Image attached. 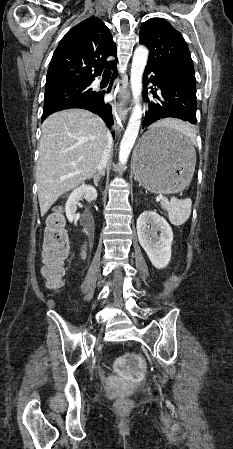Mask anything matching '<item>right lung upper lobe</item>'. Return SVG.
Listing matches in <instances>:
<instances>
[{"mask_svg":"<svg viewBox=\"0 0 233 449\" xmlns=\"http://www.w3.org/2000/svg\"><path fill=\"white\" fill-rule=\"evenodd\" d=\"M108 56H117L108 27L96 17L80 22L66 33L56 48L48 68L45 91L66 85L91 84L104 67L116 63L108 62ZM92 68H95L94 73Z\"/></svg>","mask_w":233,"mask_h":449,"instance_id":"cb5924a9","label":"right lung upper lobe"}]
</instances>
